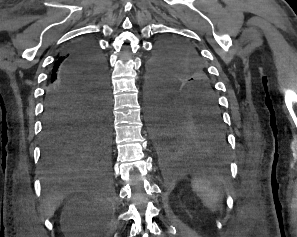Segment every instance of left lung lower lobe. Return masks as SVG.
<instances>
[{
	"label": "left lung lower lobe",
	"mask_w": 297,
	"mask_h": 237,
	"mask_svg": "<svg viewBox=\"0 0 297 237\" xmlns=\"http://www.w3.org/2000/svg\"><path fill=\"white\" fill-rule=\"evenodd\" d=\"M148 112L155 147L170 168H223L228 145L219 104L201 100L180 104L168 97H149Z\"/></svg>",
	"instance_id": "left-lung-lower-lobe-1"
}]
</instances>
